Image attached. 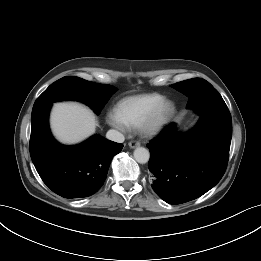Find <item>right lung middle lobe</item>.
<instances>
[{"label":"right lung middle lobe","mask_w":261,"mask_h":261,"mask_svg":"<svg viewBox=\"0 0 261 261\" xmlns=\"http://www.w3.org/2000/svg\"><path fill=\"white\" fill-rule=\"evenodd\" d=\"M116 90L112 85L89 82L78 77H63L37 98L32 112L55 101L76 100L87 104L99 114Z\"/></svg>","instance_id":"1"}]
</instances>
